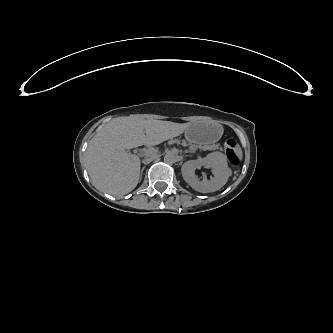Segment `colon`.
I'll return each instance as SVG.
<instances>
[{
  "label": "colon",
  "mask_w": 333,
  "mask_h": 333,
  "mask_svg": "<svg viewBox=\"0 0 333 333\" xmlns=\"http://www.w3.org/2000/svg\"><path fill=\"white\" fill-rule=\"evenodd\" d=\"M224 147L229 162L233 165H238L240 163V155L236 149V141L234 139H227Z\"/></svg>",
  "instance_id": "colon-1"
}]
</instances>
